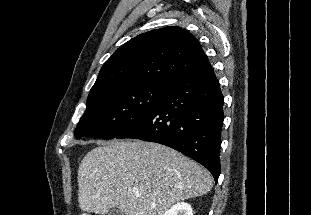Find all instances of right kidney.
Listing matches in <instances>:
<instances>
[{
	"label": "right kidney",
	"mask_w": 311,
	"mask_h": 215,
	"mask_svg": "<svg viewBox=\"0 0 311 215\" xmlns=\"http://www.w3.org/2000/svg\"><path fill=\"white\" fill-rule=\"evenodd\" d=\"M163 215H193V211L190 204L181 202L173 205Z\"/></svg>",
	"instance_id": "ca27d5eb"
}]
</instances>
